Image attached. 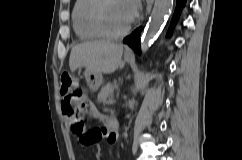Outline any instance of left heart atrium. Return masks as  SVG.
Segmentation results:
<instances>
[{
  "label": "left heart atrium",
  "mask_w": 242,
  "mask_h": 160,
  "mask_svg": "<svg viewBox=\"0 0 242 160\" xmlns=\"http://www.w3.org/2000/svg\"><path fill=\"white\" fill-rule=\"evenodd\" d=\"M131 21L137 16L140 10V1L139 0H123Z\"/></svg>",
  "instance_id": "left-heart-atrium-1"
}]
</instances>
